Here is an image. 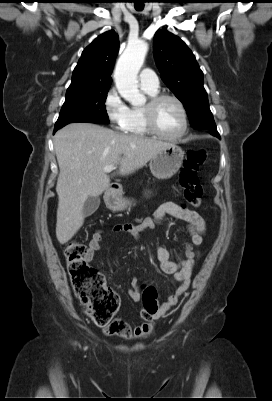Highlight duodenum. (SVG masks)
<instances>
[{
    "mask_svg": "<svg viewBox=\"0 0 272 401\" xmlns=\"http://www.w3.org/2000/svg\"><path fill=\"white\" fill-rule=\"evenodd\" d=\"M121 190L120 187H113L110 196L108 197V202L111 204L112 201L115 199V193L119 192Z\"/></svg>",
    "mask_w": 272,
    "mask_h": 401,
    "instance_id": "obj_1",
    "label": "duodenum"
}]
</instances>
